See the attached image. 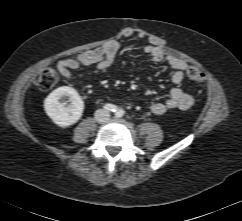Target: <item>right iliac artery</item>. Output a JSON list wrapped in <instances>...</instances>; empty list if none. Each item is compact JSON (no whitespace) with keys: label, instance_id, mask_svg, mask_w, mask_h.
Instances as JSON below:
<instances>
[{"label":"right iliac artery","instance_id":"obj_1","mask_svg":"<svg viewBox=\"0 0 242 221\" xmlns=\"http://www.w3.org/2000/svg\"><path fill=\"white\" fill-rule=\"evenodd\" d=\"M104 109L109 111V112H116L117 111V106L113 104H105Z\"/></svg>","mask_w":242,"mask_h":221}]
</instances>
